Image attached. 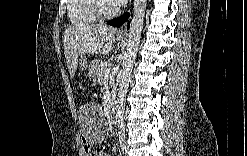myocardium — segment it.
<instances>
[{
    "label": "myocardium",
    "mask_w": 247,
    "mask_h": 156,
    "mask_svg": "<svg viewBox=\"0 0 247 156\" xmlns=\"http://www.w3.org/2000/svg\"><path fill=\"white\" fill-rule=\"evenodd\" d=\"M103 2L104 1L101 0H95L91 2V11L98 21H106L119 15L120 8L118 5H114L110 11H104L102 8Z\"/></svg>",
    "instance_id": "myocardium-1"
}]
</instances>
